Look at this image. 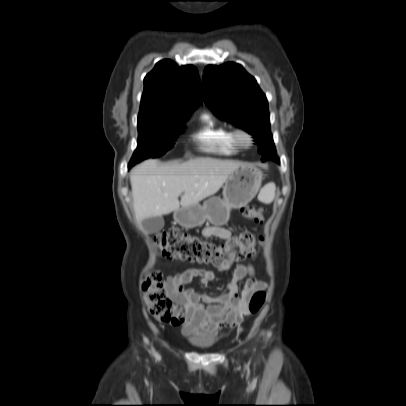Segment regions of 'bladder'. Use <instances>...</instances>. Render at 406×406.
I'll return each mask as SVG.
<instances>
[{"mask_svg":"<svg viewBox=\"0 0 406 406\" xmlns=\"http://www.w3.org/2000/svg\"><path fill=\"white\" fill-rule=\"evenodd\" d=\"M189 343L197 349H208L213 346L214 341L210 338L198 336V335H192L188 339Z\"/></svg>","mask_w":406,"mask_h":406,"instance_id":"bladder-1","label":"bladder"}]
</instances>
